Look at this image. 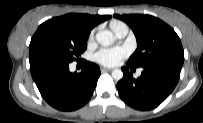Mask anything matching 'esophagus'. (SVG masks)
Returning <instances> with one entry per match:
<instances>
[{
    "instance_id": "1",
    "label": "esophagus",
    "mask_w": 203,
    "mask_h": 123,
    "mask_svg": "<svg viewBox=\"0 0 203 123\" xmlns=\"http://www.w3.org/2000/svg\"><path fill=\"white\" fill-rule=\"evenodd\" d=\"M101 71L102 72H110V71H112V69L111 68H101Z\"/></svg>"
}]
</instances>
